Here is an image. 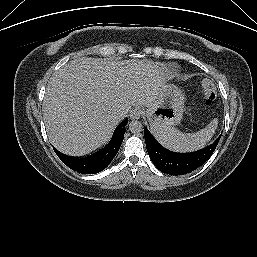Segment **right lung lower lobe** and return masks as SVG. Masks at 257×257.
Instances as JSON below:
<instances>
[{
    "mask_svg": "<svg viewBox=\"0 0 257 257\" xmlns=\"http://www.w3.org/2000/svg\"><path fill=\"white\" fill-rule=\"evenodd\" d=\"M128 123V118L123 120L115 129L114 134L109 143L99 151L84 157L73 158L54 149L60 160L70 169L82 174H94L104 170L113 160L120 149L123 142L125 127Z\"/></svg>",
    "mask_w": 257,
    "mask_h": 257,
    "instance_id": "98d812e1",
    "label": "right lung lower lobe"
}]
</instances>
